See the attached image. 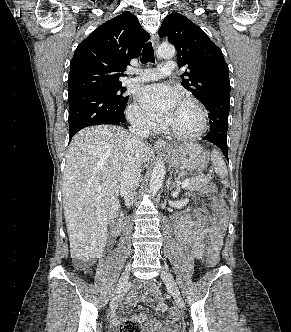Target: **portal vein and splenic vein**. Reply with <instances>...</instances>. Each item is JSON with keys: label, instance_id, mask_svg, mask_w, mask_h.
I'll list each match as a JSON object with an SVG mask.
<instances>
[{"label": "portal vein and splenic vein", "instance_id": "obj_1", "mask_svg": "<svg viewBox=\"0 0 291 332\" xmlns=\"http://www.w3.org/2000/svg\"><path fill=\"white\" fill-rule=\"evenodd\" d=\"M190 181H191L190 179H185L181 184L182 188H186L190 183Z\"/></svg>", "mask_w": 291, "mask_h": 332}]
</instances>
